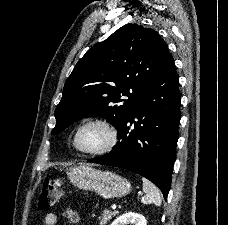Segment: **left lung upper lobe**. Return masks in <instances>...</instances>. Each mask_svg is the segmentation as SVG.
<instances>
[{"label": "left lung upper lobe", "instance_id": "obj_1", "mask_svg": "<svg viewBox=\"0 0 228 225\" xmlns=\"http://www.w3.org/2000/svg\"><path fill=\"white\" fill-rule=\"evenodd\" d=\"M171 58L155 30L138 24L122 26L76 64L56 107L52 135L87 116L101 115L117 128Z\"/></svg>", "mask_w": 228, "mask_h": 225}]
</instances>
